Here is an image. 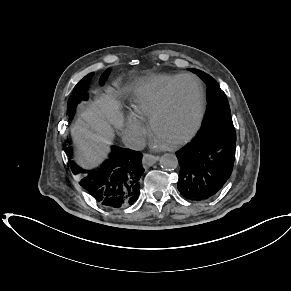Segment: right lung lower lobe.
Listing matches in <instances>:
<instances>
[{"label": "right lung lower lobe", "instance_id": "right-lung-lower-lobe-1", "mask_svg": "<svg viewBox=\"0 0 291 291\" xmlns=\"http://www.w3.org/2000/svg\"><path fill=\"white\" fill-rule=\"evenodd\" d=\"M72 148H67L71 157ZM142 154L127 148L112 147L109 159L99 168L85 170L70 160L72 172L81 177L79 184L101 205L120 208L132 205L140 194L144 172Z\"/></svg>", "mask_w": 291, "mask_h": 291}]
</instances>
